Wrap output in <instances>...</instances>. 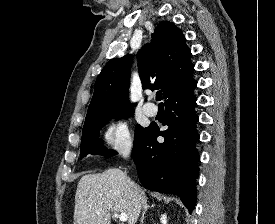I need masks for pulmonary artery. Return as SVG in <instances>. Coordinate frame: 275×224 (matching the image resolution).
Returning a JSON list of instances; mask_svg holds the SVG:
<instances>
[{
	"label": "pulmonary artery",
	"mask_w": 275,
	"mask_h": 224,
	"mask_svg": "<svg viewBox=\"0 0 275 224\" xmlns=\"http://www.w3.org/2000/svg\"><path fill=\"white\" fill-rule=\"evenodd\" d=\"M143 111L147 116H155L157 114V107L153 103H146L143 106Z\"/></svg>",
	"instance_id": "obj_1"
}]
</instances>
